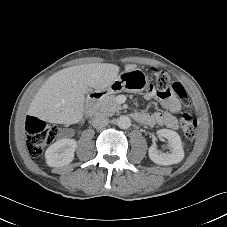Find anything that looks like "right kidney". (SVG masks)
<instances>
[{
	"mask_svg": "<svg viewBox=\"0 0 227 227\" xmlns=\"http://www.w3.org/2000/svg\"><path fill=\"white\" fill-rule=\"evenodd\" d=\"M77 142L74 139L64 138L53 143L45 152L46 163L50 167H62L74 158Z\"/></svg>",
	"mask_w": 227,
	"mask_h": 227,
	"instance_id": "right-kidney-1",
	"label": "right kidney"
}]
</instances>
